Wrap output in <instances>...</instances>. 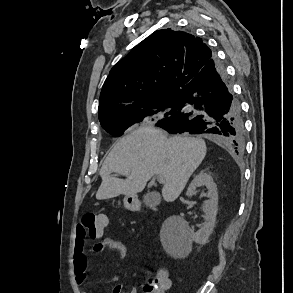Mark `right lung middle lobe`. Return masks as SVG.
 <instances>
[{
  "label": "right lung middle lobe",
  "instance_id": "obj_1",
  "mask_svg": "<svg viewBox=\"0 0 293 293\" xmlns=\"http://www.w3.org/2000/svg\"><path fill=\"white\" fill-rule=\"evenodd\" d=\"M176 105V99H168L142 111L124 115H108L99 120L101 126L107 132L115 136H121L124 131L134 123L141 121H157L160 118L167 116L176 110Z\"/></svg>",
  "mask_w": 293,
  "mask_h": 293
}]
</instances>
